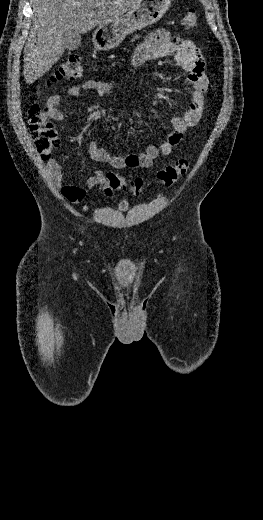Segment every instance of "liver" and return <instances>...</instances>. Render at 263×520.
I'll return each instance as SVG.
<instances>
[{
  "instance_id": "obj_1",
  "label": "liver",
  "mask_w": 263,
  "mask_h": 520,
  "mask_svg": "<svg viewBox=\"0 0 263 520\" xmlns=\"http://www.w3.org/2000/svg\"><path fill=\"white\" fill-rule=\"evenodd\" d=\"M141 0H32L33 28L24 48V78L32 84L60 59L64 34H84L123 16Z\"/></svg>"
}]
</instances>
